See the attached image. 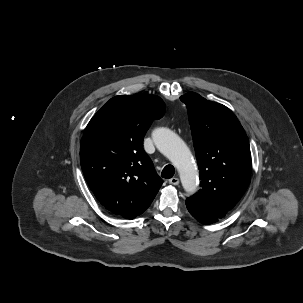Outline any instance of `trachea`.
I'll return each mask as SVG.
<instances>
[{"label":"trachea","mask_w":303,"mask_h":303,"mask_svg":"<svg viewBox=\"0 0 303 303\" xmlns=\"http://www.w3.org/2000/svg\"><path fill=\"white\" fill-rule=\"evenodd\" d=\"M175 173V169L172 165H166L162 170L161 176L166 179H170L173 177Z\"/></svg>","instance_id":"obj_1"}]
</instances>
